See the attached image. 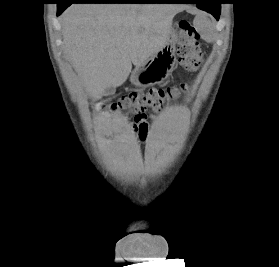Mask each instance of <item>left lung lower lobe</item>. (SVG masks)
<instances>
[{"label": "left lung lower lobe", "instance_id": "obj_1", "mask_svg": "<svg viewBox=\"0 0 279 267\" xmlns=\"http://www.w3.org/2000/svg\"><path fill=\"white\" fill-rule=\"evenodd\" d=\"M172 3H196L197 8L211 13L218 20L222 2L221 0H177Z\"/></svg>", "mask_w": 279, "mask_h": 267}]
</instances>
